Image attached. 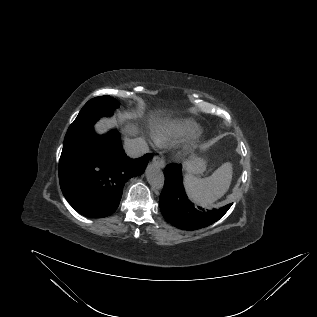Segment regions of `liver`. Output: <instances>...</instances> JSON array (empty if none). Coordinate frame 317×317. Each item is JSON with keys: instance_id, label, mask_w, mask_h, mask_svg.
<instances>
[{"instance_id": "6515ba94", "label": "liver", "mask_w": 317, "mask_h": 317, "mask_svg": "<svg viewBox=\"0 0 317 317\" xmlns=\"http://www.w3.org/2000/svg\"><path fill=\"white\" fill-rule=\"evenodd\" d=\"M115 124V119L104 118L95 125V129L98 133L102 134L105 133L107 129L111 128ZM129 131L132 132V129H129Z\"/></svg>"}]
</instances>
